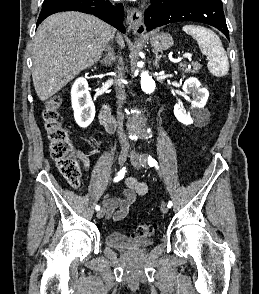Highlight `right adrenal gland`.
Masks as SVG:
<instances>
[{"instance_id": "2a0ac1e0", "label": "right adrenal gland", "mask_w": 259, "mask_h": 294, "mask_svg": "<svg viewBox=\"0 0 259 294\" xmlns=\"http://www.w3.org/2000/svg\"><path fill=\"white\" fill-rule=\"evenodd\" d=\"M115 61V54L113 51V48L108 47V54H106L102 59H101V64H104L106 66H110L112 62Z\"/></svg>"}]
</instances>
